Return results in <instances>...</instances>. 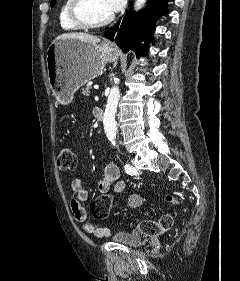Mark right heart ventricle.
Returning a JSON list of instances; mask_svg holds the SVG:
<instances>
[{
	"instance_id": "obj_1",
	"label": "right heart ventricle",
	"mask_w": 240,
	"mask_h": 281,
	"mask_svg": "<svg viewBox=\"0 0 240 281\" xmlns=\"http://www.w3.org/2000/svg\"><path fill=\"white\" fill-rule=\"evenodd\" d=\"M71 0H64L59 11V24L61 28L65 31H77L80 30L81 27L74 24L68 15V7Z\"/></svg>"
}]
</instances>
